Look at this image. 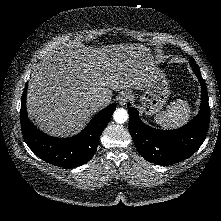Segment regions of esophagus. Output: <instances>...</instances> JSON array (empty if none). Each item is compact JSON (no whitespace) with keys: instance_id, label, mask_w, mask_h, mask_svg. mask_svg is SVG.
Masks as SVG:
<instances>
[{"instance_id":"obj_1","label":"esophagus","mask_w":221,"mask_h":221,"mask_svg":"<svg viewBox=\"0 0 221 221\" xmlns=\"http://www.w3.org/2000/svg\"><path fill=\"white\" fill-rule=\"evenodd\" d=\"M131 93L128 91H125L121 94V96L119 97V103L121 105H125L127 104V102L131 99Z\"/></svg>"}]
</instances>
